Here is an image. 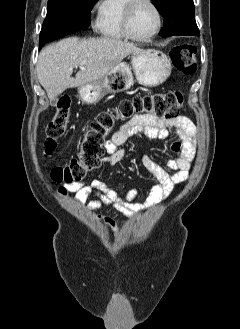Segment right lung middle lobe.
I'll return each mask as SVG.
<instances>
[{
	"instance_id": "obj_1",
	"label": "right lung middle lobe",
	"mask_w": 240,
	"mask_h": 329,
	"mask_svg": "<svg viewBox=\"0 0 240 329\" xmlns=\"http://www.w3.org/2000/svg\"><path fill=\"white\" fill-rule=\"evenodd\" d=\"M98 0H49L47 16L44 20L39 48L78 30L86 29L90 24V13Z\"/></svg>"
}]
</instances>
